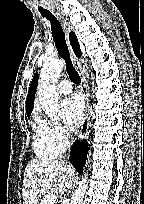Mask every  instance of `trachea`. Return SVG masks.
Returning <instances> with one entry per match:
<instances>
[{
  "instance_id": "1",
  "label": "trachea",
  "mask_w": 144,
  "mask_h": 204,
  "mask_svg": "<svg viewBox=\"0 0 144 204\" xmlns=\"http://www.w3.org/2000/svg\"><path fill=\"white\" fill-rule=\"evenodd\" d=\"M42 16L46 17V19H48L51 23L52 37L55 42V46L59 55L65 60L66 70L71 81L79 84L81 82V79L70 59V53L65 40V33L60 22L51 13H43Z\"/></svg>"
}]
</instances>
